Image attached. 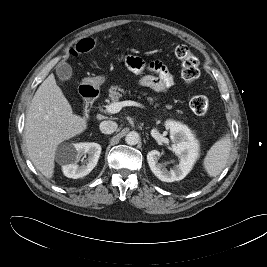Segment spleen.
<instances>
[{
  "mask_svg": "<svg viewBox=\"0 0 267 267\" xmlns=\"http://www.w3.org/2000/svg\"><path fill=\"white\" fill-rule=\"evenodd\" d=\"M230 150L231 140L229 134H226L212 145L203 161L204 169L209 176L216 177L222 172L228 161Z\"/></svg>",
  "mask_w": 267,
  "mask_h": 267,
  "instance_id": "1",
  "label": "spleen"
}]
</instances>
